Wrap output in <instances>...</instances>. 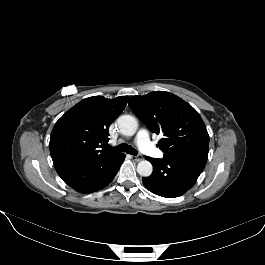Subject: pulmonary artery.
Listing matches in <instances>:
<instances>
[{"mask_svg":"<svg viewBox=\"0 0 265 265\" xmlns=\"http://www.w3.org/2000/svg\"><path fill=\"white\" fill-rule=\"evenodd\" d=\"M136 143L141 151L151 157L161 156V151L157 149L149 140V136L146 130H141L136 137Z\"/></svg>","mask_w":265,"mask_h":265,"instance_id":"e3ab8cb5","label":"pulmonary artery"}]
</instances>
